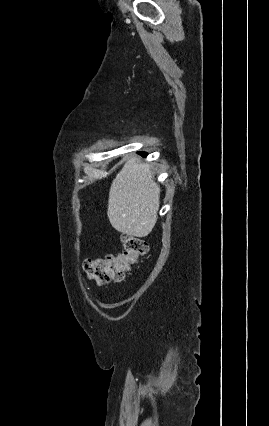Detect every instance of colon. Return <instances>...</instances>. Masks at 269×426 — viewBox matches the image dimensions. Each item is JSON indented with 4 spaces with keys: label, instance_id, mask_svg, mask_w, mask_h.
I'll return each mask as SVG.
<instances>
[{
    "label": "colon",
    "instance_id": "colon-1",
    "mask_svg": "<svg viewBox=\"0 0 269 426\" xmlns=\"http://www.w3.org/2000/svg\"><path fill=\"white\" fill-rule=\"evenodd\" d=\"M121 242L123 250L120 254L97 256L85 261L84 274L88 280L99 286L121 282L139 258L148 252V244L138 236L123 234Z\"/></svg>",
    "mask_w": 269,
    "mask_h": 426
}]
</instances>
